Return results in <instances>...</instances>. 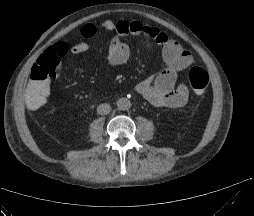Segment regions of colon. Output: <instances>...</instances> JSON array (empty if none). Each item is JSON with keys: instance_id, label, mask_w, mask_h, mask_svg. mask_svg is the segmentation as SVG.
<instances>
[{"instance_id": "obj_1", "label": "colon", "mask_w": 254, "mask_h": 216, "mask_svg": "<svg viewBox=\"0 0 254 216\" xmlns=\"http://www.w3.org/2000/svg\"><path fill=\"white\" fill-rule=\"evenodd\" d=\"M57 48L61 53L48 49L37 59L31 69L30 78L25 83L22 96L23 105L29 111H40L46 105L51 88L49 80L58 74L63 58L64 45L61 44ZM189 82L196 94H203L209 82L207 71L200 66L192 67L189 71Z\"/></svg>"}]
</instances>
